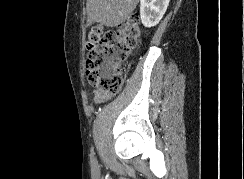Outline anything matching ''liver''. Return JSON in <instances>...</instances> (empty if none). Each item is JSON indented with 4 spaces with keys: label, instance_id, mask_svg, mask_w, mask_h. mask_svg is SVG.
Listing matches in <instances>:
<instances>
[{
    "label": "liver",
    "instance_id": "6515ba94",
    "mask_svg": "<svg viewBox=\"0 0 244 179\" xmlns=\"http://www.w3.org/2000/svg\"><path fill=\"white\" fill-rule=\"evenodd\" d=\"M139 0H87L88 24L119 26L135 10Z\"/></svg>",
    "mask_w": 244,
    "mask_h": 179
}]
</instances>
